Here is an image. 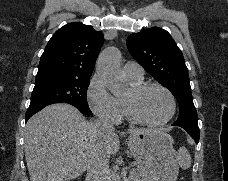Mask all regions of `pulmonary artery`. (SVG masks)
<instances>
[{
  "mask_svg": "<svg viewBox=\"0 0 228 181\" xmlns=\"http://www.w3.org/2000/svg\"><path fill=\"white\" fill-rule=\"evenodd\" d=\"M125 75L131 78L141 77V65L139 62H128V65H124Z\"/></svg>",
  "mask_w": 228,
  "mask_h": 181,
  "instance_id": "e3ab8cb5",
  "label": "pulmonary artery"
}]
</instances>
